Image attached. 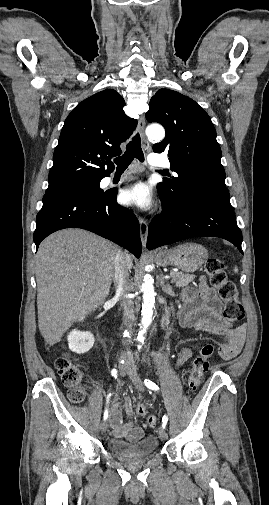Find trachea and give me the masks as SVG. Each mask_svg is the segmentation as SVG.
<instances>
[{"label":"trachea","instance_id":"3493384b","mask_svg":"<svg viewBox=\"0 0 269 505\" xmlns=\"http://www.w3.org/2000/svg\"><path fill=\"white\" fill-rule=\"evenodd\" d=\"M134 158L138 159L141 162L144 161V154L141 148V139L138 133L127 144L125 153L122 156L114 159V162L117 165V170H125Z\"/></svg>","mask_w":269,"mask_h":505}]
</instances>
